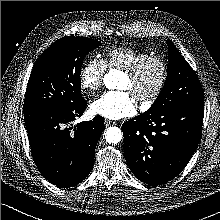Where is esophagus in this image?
<instances>
[{
	"label": "esophagus",
	"instance_id": "obj_1",
	"mask_svg": "<svg viewBox=\"0 0 220 220\" xmlns=\"http://www.w3.org/2000/svg\"><path fill=\"white\" fill-rule=\"evenodd\" d=\"M104 122H105V125H106V126H109V125H111V124L113 123V122H112L111 120H109V119H105Z\"/></svg>",
	"mask_w": 220,
	"mask_h": 220
}]
</instances>
